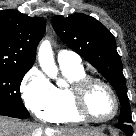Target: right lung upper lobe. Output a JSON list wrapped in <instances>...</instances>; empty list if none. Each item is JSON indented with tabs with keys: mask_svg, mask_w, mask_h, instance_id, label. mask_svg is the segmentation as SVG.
Listing matches in <instances>:
<instances>
[{
	"mask_svg": "<svg viewBox=\"0 0 136 136\" xmlns=\"http://www.w3.org/2000/svg\"><path fill=\"white\" fill-rule=\"evenodd\" d=\"M46 22L16 10L0 11V68L29 70Z\"/></svg>",
	"mask_w": 136,
	"mask_h": 136,
	"instance_id": "cb5924a9",
	"label": "right lung upper lobe"
}]
</instances>
